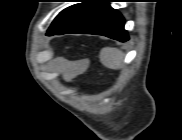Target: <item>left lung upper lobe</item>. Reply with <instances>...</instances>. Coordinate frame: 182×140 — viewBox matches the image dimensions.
<instances>
[{"instance_id":"obj_1","label":"left lung upper lobe","mask_w":182,"mask_h":140,"mask_svg":"<svg viewBox=\"0 0 182 140\" xmlns=\"http://www.w3.org/2000/svg\"><path fill=\"white\" fill-rule=\"evenodd\" d=\"M105 2L106 0H81V3L64 9L52 22L47 35L52 36L66 33V31L101 7Z\"/></svg>"}]
</instances>
